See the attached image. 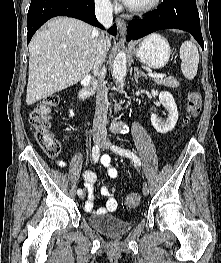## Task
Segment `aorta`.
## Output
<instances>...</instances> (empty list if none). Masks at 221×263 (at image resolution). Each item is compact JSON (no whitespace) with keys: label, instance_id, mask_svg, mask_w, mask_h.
Returning a JSON list of instances; mask_svg holds the SVG:
<instances>
[{"label":"aorta","instance_id":"obj_1","mask_svg":"<svg viewBox=\"0 0 221 263\" xmlns=\"http://www.w3.org/2000/svg\"><path fill=\"white\" fill-rule=\"evenodd\" d=\"M127 72V58L126 53L120 51L114 61L112 66V77L118 84V88L121 89L124 86V79Z\"/></svg>","mask_w":221,"mask_h":263}]
</instances>
